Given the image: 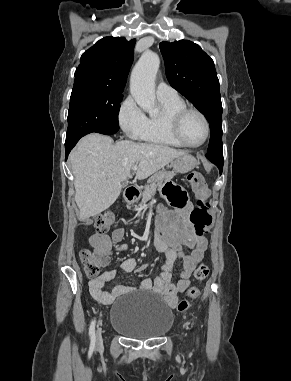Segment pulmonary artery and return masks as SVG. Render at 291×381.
Returning <instances> with one entry per match:
<instances>
[{
  "instance_id": "e3ab8cb5",
  "label": "pulmonary artery",
  "mask_w": 291,
  "mask_h": 381,
  "mask_svg": "<svg viewBox=\"0 0 291 381\" xmlns=\"http://www.w3.org/2000/svg\"><path fill=\"white\" fill-rule=\"evenodd\" d=\"M156 94L158 98L172 99L178 97L177 91L166 84L163 81H160L156 88Z\"/></svg>"
}]
</instances>
